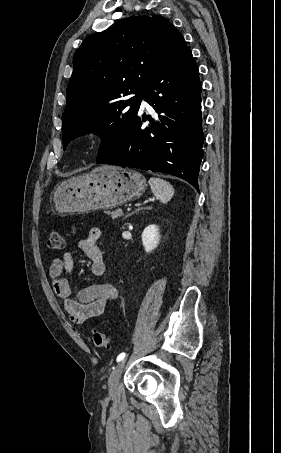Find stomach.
Instances as JSON below:
<instances>
[{"label": "stomach", "mask_w": 281, "mask_h": 453, "mask_svg": "<svg viewBox=\"0 0 281 453\" xmlns=\"http://www.w3.org/2000/svg\"><path fill=\"white\" fill-rule=\"evenodd\" d=\"M146 186L144 176L137 170L107 166L104 170L84 172L60 182L52 192V202L59 214H82L136 200Z\"/></svg>", "instance_id": "0dacf381"}]
</instances>
